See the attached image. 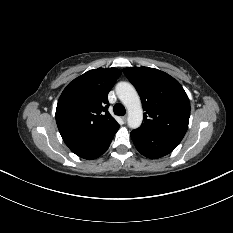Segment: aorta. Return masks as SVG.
<instances>
[{
	"label": "aorta",
	"instance_id": "762f6f07",
	"mask_svg": "<svg viewBox=\"0 0 233 233\" xmlns=\"http://www.w3.org/2000/svg\"><path fill=\"white\" fill-rule=\"evenodd\" d=\"M116 94L128 111L127 123L132 129L140 127L143 120V109L140 97L134 86L128 82L116 85Z\"/></svg>",
	"mask_w": 233,
	"mask_h": 233
}]
</instances>
